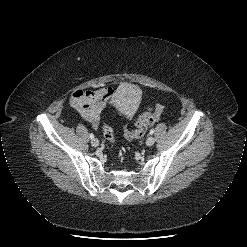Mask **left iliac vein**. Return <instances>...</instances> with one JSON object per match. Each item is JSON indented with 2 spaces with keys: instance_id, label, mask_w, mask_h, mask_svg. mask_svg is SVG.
I'll return each instance as SVG.
<instances>
[{
  "instance_id": "left-iliac-vein-1",
  "label": "left iliac vein",
  "mask_w": 247,
  "mask_h": 247,
  "mask_svg": "<svg viewBox=\"0 0 247 247\" xmlns=\"http://www.w3.org/2000/svg\"><path fill=\"white\" fill-rule=\"evenodd\" d=\"M154 142H155V139H154L153 136H149V137L147 138V140H146L147 146H152V145L154 144Z\"/></svg>"
}]
</instances>
